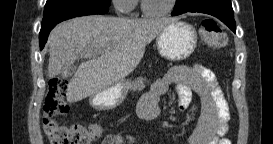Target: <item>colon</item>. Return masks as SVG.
I'll list each match as a JSON object with an SVG mask.
<instances>
[{
	"mask_svg": "<svg viewBox=\"0 0 273 144\" xmlns=\"http://www.w3.org/2000/svg\"><path fill=\"white\" fill-rule=\"evenodd\" d=\"M201 34L204 42L210 46H222L226 41L222 29L213 19H204L201 22ZM67 87L68 81L61 78L53 79L49 83L43 106L45 132L53 144H90L100 134L98 126H67L58 121L69 109L65 101Z\"/></svg>",
	"mask_w": 273,
	"mask_h": 144,
	"instance_id": "obj_1",
	"label": "colon"
}]
</instances>
